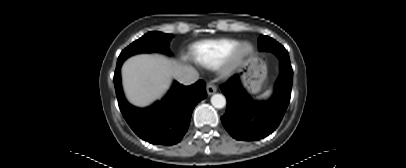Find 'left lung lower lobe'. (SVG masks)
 <instances>
[{
	"instance_id": "0a47b994",
	"label": "left lung lower lobe",
	"mask_w": 406,
	"mask_h": 168,
	"mask_svg": "<svg viewBox=\"0 0 406 168\" xmlns=\"http://www.w3.org/2000/svg\"><path fill=\"white\" fill-rule=\"evenodd\" d=\"M281 72L272 97L267 101H253L243 89L239 75H234L220 86L227 98V109L222 124L237 140H259L271 134L280 124L289 105L293 71L289 55L279 56Z\"/></svg>"
}]
</instances>
